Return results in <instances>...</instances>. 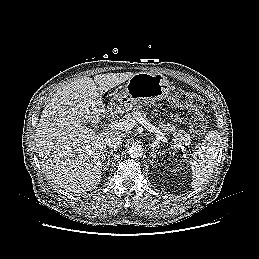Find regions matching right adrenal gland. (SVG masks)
Returning a JSON list of instances; mask_svg holds the SVG:
<instances>
[{"label": "right adrenal gland", "instance_id": "right-adrenal-gland-1", "mask_svg": "<svg viewBox=\"0 0 259 259\" xmlns=\"http://www.w3.org/2000/svg\"><path fill=\"white\" fill-rule=\"evenodd\" d=\"M117 151L116 149H111L105 153V156L102 160V168L104 171L107 170V167L110 165V156ZM106 162V163H105Z\"/></svg>", "mask_w": 259, "mask_h": 259}]
</instances>
